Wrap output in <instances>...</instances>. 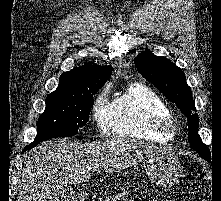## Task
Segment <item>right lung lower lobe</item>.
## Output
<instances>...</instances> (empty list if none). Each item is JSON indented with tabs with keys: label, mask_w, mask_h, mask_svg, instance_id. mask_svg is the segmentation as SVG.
Instances as JSON below:
<instances>
[{
	"label": "right lung lower lobe",
	"mask_w": 221,
	"mask_h": 201,
	"mask_svg": "<svg viewBox=\"0 0 221 201\" xmlns=\"http://www.w3.org/2000/svg\"><path fill=\"white\" fill-rule=\"evenodd\" d=\"M52 138H54V137H52ZM47 139H50V138H46V139H42V140H34L31 144L27 145V146L23 149L22 153H24L26 150H29V149L35 147L37 144H39L40 142H42V141H44V140H47Z\"/></svg>",
	"instance_id": "1"
}]
</instances>
